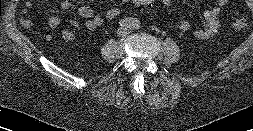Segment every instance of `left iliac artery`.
I'll return each mask as SVG.
<instances>
[{
	"label": "left iliac artery",
	"instance_id": "obj_1",
	"mask_svg": "<svg viewBox=\"0 0 253 131\" xmlns=\"http://www.w3.org/2000/svg\"><path fill=\"white\" fill-rule=\"evenodd\" d=\"M138 22L137 21H134V23L132 24V28H138Z\"/></svg>",
	"mask_w": 253,
	"mask_h": 131
}]
</instances>
